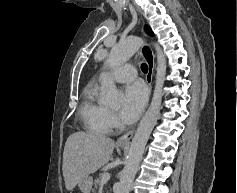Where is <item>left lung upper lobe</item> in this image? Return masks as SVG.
I'll list each match as a JSON object with an SVG mask.
<instances>
[{
	"instance_id": "obj_1",
	"label": "left lung upper lobe",
	"mask_w": 237,
	"mask_h": 193,
	"mask_svg": "<svg viewBox=\"0 0 237 193\" xmlns=\"http://www.w3.org/2000/svg\"><path fill=\"white\" fill-rule=\"evenodd\" d=\"M145 31L149 34V35H153L152 30L150 29V27L148 25H145Z\"/></svg>"
}]
</instances>
